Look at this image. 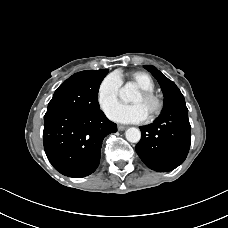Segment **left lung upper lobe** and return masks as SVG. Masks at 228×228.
<instances>
[{"instance_id": "obj_1", "label": "left lung upper lobe", "mask_w": 228, "mask_h": 228, "mask_svg": "<svg viewBox=\"0 0 228 228\" xmlns=\"http://www.w3.org/2000/svg\"><path fill=\"white\" fill-rule=\"evenodd\" d=\"M144 68L157 79L161 86L164 95L163 109L175 101L184 100V96L175 83L164 76L156 67L152 65H145Z\"/></svg>"}]
</instances>
